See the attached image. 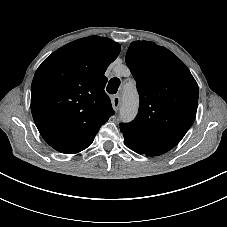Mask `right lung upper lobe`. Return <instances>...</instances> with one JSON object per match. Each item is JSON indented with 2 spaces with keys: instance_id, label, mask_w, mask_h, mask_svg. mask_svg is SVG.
Instances as JSON below:
<instances>
[{
  "instance_id": "cb5924a9",
  "label": "right lung upper lobe",
  "mask_w": 227,
  "mask_h": 227,
  "mask_svg": "<svg viewBox=\"0 0 227 227\" xmlns=\"http://www.w3.org/2000/svg\"><path fill=\"white\" fill-rule=\"evenodd\" d=\"M106 37L75 40L53 52L37 69L31 111L44 140L61 153H77L94 140L115 113L104 73L120 53Z\"/></svg>"
}]
</instances>
